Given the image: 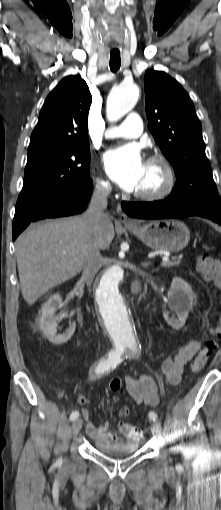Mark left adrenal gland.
Masks as SVG:
<instances>
[{"instance_id":"a2214340","label":"left adrenal gland","mask_w":221,"mask_h":510,"mask_svg":"<svg viewBox=\"0 0 221 510\" xmlns=\"http://www.w3.org/2000/svg\"><path fill=\"white\" fill-rule=\"evenodd\" d=\"M149 265H150V262H144V263H142V266H143V267H148Z\"/></svg>"}]
</instances>
